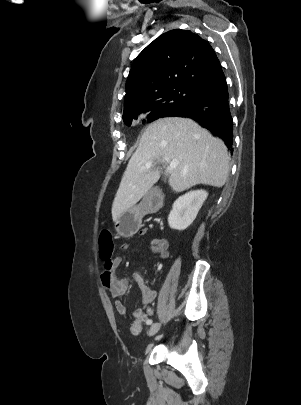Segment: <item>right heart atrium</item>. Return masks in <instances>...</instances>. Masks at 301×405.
<instances>
[{
    "mask_svg": "<svg viewBox=\"0 0 301 405\" xmlns=\"http://www.w3.org/2000/svg\"><path fill=\"white\" fill-rule=\"evenodd\" d=\"M147 116H148L147 113H141V114H140V118H142V119L146 118Z\"/></svg>",
    "mask_w": 301,
    "mask_h": 405,
    "instance_id": "right-heart-atrium-1",
    "label": "right heart atrium"
}]
</instances>
